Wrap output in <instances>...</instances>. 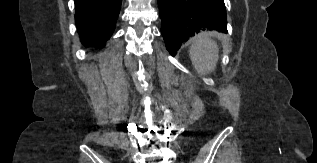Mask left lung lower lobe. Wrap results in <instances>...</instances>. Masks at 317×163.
<instances>
[{
  "label": "left lung lower lobe",
  "mask_w": 317,
  "mask_h": 163,
  "mask_svg": "<svg viewBox=\"0 0 317 163\" xmlns=\"http://www.w3.org/2000/svg\"><path fill=\"white\" fill-rule=\"evenodd\" d=\"M158 5L161 33L172 56L195 33L205 29L227 33L224 0H158Z\"/></svg>",
  "instance_id": "obj_1"
}]
</instances>
